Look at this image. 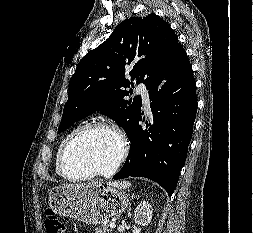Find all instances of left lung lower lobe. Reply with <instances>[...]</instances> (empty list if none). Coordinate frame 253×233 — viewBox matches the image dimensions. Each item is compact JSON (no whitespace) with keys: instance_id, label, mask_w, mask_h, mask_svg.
Wrapping results in <instances>:
<instances>
[{"instance_id":"1","label":"left lung lower lobe","mask_w":253,"mask_h":233,"mask_svg":"<svg viewBox=\"0 0 253 233\" xmlns=\"http://www.w3.org/2000/svg\"><path fill=\"white\" fill-rule=\"evenodd\" d=\"M151 123L139 124V109L127 134L130 151L113 177H146L172 195L187 157L197 109L196 83L187 53L177 43L162 75L149 87ZM145 118L143 117V120Z\"/></svg>"}]
</instances>
